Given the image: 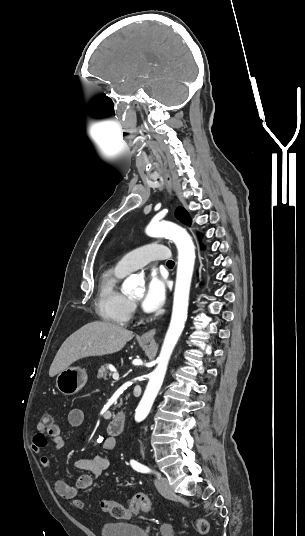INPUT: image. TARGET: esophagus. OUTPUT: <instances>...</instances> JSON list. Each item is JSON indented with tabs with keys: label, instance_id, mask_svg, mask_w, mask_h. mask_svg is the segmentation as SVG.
Wrapping results in <instances>:
<instances>
[{
	"label": "esophagus",
	"instance_id": "obj_1",
	"mask_svg": "<svg viewBox=\"0 0 305 536\" xmlns=\"http://www.w3.org/2000/svg\"><path fill=\"white\" fill-rule=\"evenodd\" d=\"M164 179L166 181L167 190L172 195V179L169 175H164ZM156 333V329H151L149 331H146L141 337L143 342H149L152 341L154 338V335Z\"/></svg>",
	"mask_w": 305,
	"mask_h": 536
}]
</instances>
